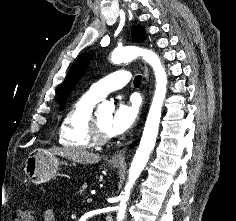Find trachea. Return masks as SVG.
I'll return each mask as SVG.
<instances>
[{"label": "trachea", "instance_id": "obj_1", "mask_svg": "<svg viewBox=\"0 0 236 221\" xmlns=\"http://www.w3.org/2000/svg\"><path fill=\"white\" fill-rule=\"evenodd\" d=\"M141 75H137L135 78H134V85L135 86H139L141 84Z\"/></svg>", "mask_w": 236, "mask_h": 221}]
</instances>
